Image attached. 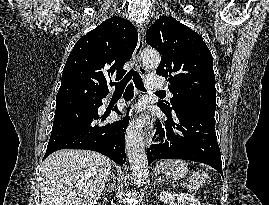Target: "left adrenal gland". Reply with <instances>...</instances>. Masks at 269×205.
<instances>
[{
  "mask_svg": "<svg viewBox=\"0 0 269 205\" xmlns=\"http://www.w3.org/2000/svg\"><path fill=\"white\" fill-rule=\"evenodd\" d=\"M156 184L158 185V184H162L163 183V180H161L157 175H156Z\"/></svg>",
  "mask_w": 269,
  "mask_h": 205,
  "instance_id": "1",
  "label": "left adrenal gland"
}]
</instances>
